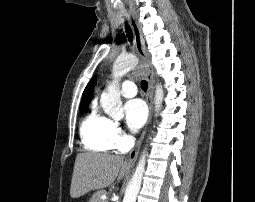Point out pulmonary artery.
Here are the masks:
<instances>
[{"label": "pulmonary artery", "mask_w": 255, "mask_h": 202, "mask_svg": "<svg viewBox=\"0 0 255 202\" xmlns=\"http://www.w3.org/2000/svg\"><path fill=\"white\" fill-rule=\"evenodd\" d=\"M121 94L124 97L131 98L137 94L136 85L132 81H125L121 86Z\"/></svg>", "instance_id": "e3ab8cb5"}]
</instances>
